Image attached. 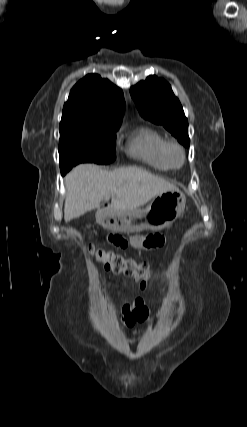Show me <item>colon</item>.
<instances>
[{"instance_id":"5ec220e1","label":"colon","mask_w":247,"mask_h":427,"mask_svg":"<svg viewBox=\"0 0 247 427\" xmlns=\"http://www.w3.org/2000/svg\"><path fill=\"white\" fill-rule=\"evenodd\" d=\"M88 250L107 270L115 273H123L126 276L134 278L143 289L149 286L152 273L147 263L138 262L134 259L126 258L117 252L95 246H89Z\"/></svg>"}]
</instances>
